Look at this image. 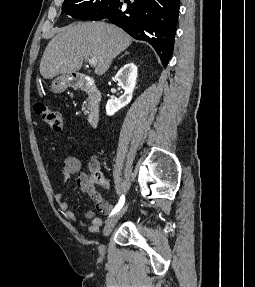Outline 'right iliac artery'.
Segmentation results:
<instances>
[{"instance_id": "82829eb1", "label": "right iliac artery", "mask_w": 255, "mask_h": 287, "mask_svg": "<svg viewBox=\"0 0 255 287\" xmlns=\"http://www.w3.org/2000/svg\"><path fill=\"white\" fill-rule=\"evenodd\" d=\"M124 202H125V197H124V195H122V196L120 197V200H119L118 204H117V205L115 206V208L112 210L110 216L113 215V214H115V213H117V212L122 208V206L124 205Z\"/></svg>"}]
</instances>
